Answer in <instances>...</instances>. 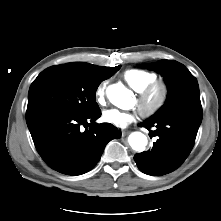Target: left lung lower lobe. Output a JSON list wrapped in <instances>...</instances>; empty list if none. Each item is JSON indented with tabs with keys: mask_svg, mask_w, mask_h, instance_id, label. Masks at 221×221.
<instances>
[{
	"mask_svg": "<svg viewBox=\"0 0 221 221\" xmlns=\"http://www.w3.org/2000/svg\"><path fill=\"white\" fill-rule=\"evenodd\" d=\"M202 121L201 105L157 119H148L139 126H155L152 136H158L152 149L138 153L134 160L145 174L161 176L176 170L187 158L194 145Z\"/></svg>",
	"mask_w": 221,
	"mask_h": 221,
	"instance_id": "1",
	"label": "left lung lower lobe"
}]
</instances>
